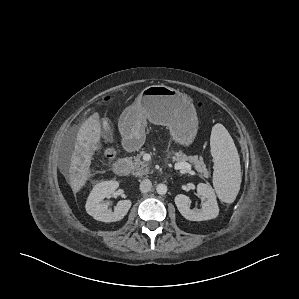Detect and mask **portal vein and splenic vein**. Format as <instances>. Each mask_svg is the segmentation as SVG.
Segmentation results:
<instances>
[{
  "mask_svg": "<svg viewBox=\"0 0 299 299\" xmlns=\"http://www.w3.org/2000/svg\"><path fill=\"white\" fill-rule=\"evenodd\" d=\"M174 169L175 170L186 169V170L190 171L191 170V165L187 162L176 163L174 165Z\"/></svg>",
  "mask_w": 299,
  "mask_h": 299,
  "instance_id": "18ae733b",
  "label": "portal vein and splenic vein"
}]
</instances>
